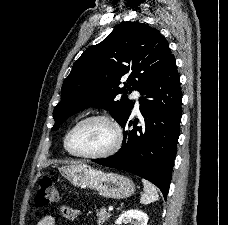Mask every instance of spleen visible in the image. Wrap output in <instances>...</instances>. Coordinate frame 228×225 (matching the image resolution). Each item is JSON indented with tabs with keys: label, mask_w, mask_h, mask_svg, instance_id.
<instances>
[{
	"label": "spleen",
	"mask_w": 228,
	"mask_h": 225,
	"mask_svg": "<svg viewBox=\"0 0 228 225\" xmlns=\"http://www.w3.org/2000/svg\"><path fill=\"white\" fill-rule=\"evenodd\" d=\"M142 183L144 185V195L140 197V203H142V205H150V203L158 201L159 195L157 193L156 187L151 185L149 181H145V179H142Z\"/></svg>",
	"instance_id": "3e777b00"
}]
</instances>
